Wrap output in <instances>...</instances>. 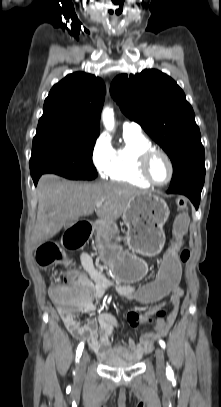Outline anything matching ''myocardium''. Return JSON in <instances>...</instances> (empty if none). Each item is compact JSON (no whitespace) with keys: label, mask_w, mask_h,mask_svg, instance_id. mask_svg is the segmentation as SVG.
Segmentation results:
<instances>
[{"label":"myocardium","mask_w":221,"mask_h":407,"mask_svg":"<svg viewBox=\"0 0 221 407\" xmlns=\"http://www.w3.org/2000/svg\"><path fill=\"white\" fill-rule=\"evenodd\" d=\"M155 155H162L167 160L168 165H169V169H170L169 177H168V179L166 181H164L162 183L156 182L152 178V176L150 174V169H149L150 162H151L152 158ZM139 172H140L141 176L150 185H153V186H156V187H163V186H166L167 184H169L172 181V179L174 177V173H175V168H174V163H173L172 158L170 157V155L166 151H164L162 149H158V148H151V149L145 151L141 155V157L139 159Z\"/></svg>","instance_id":"f54148a6"}]
</instances>
